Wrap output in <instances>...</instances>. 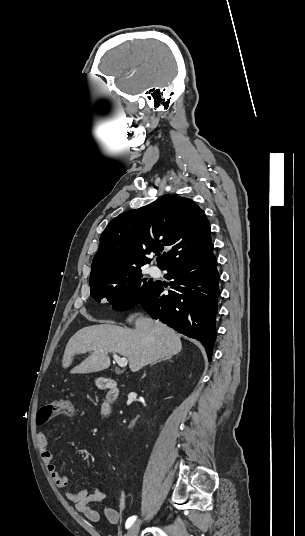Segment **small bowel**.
Masks as SVG:
<instances>
[{"label":"small bowel","instance_id":"small-bowel-1","mask_svg":"<svg viewBox=\"0 0 305 536\" xmlns=\"http://www.w3.org/2000/svg\"><path fill=\"white\" fill-rule=\"evenodd\" d=\"M42 433H45V430H42ZM36 441L42 460L55 485L59 488L67 487L68 478L57 469L54 455L48 447L47 435H36ZM65 496L83 516L94 522L99 521L100 515L92 508V505L101 502L105 498V490L102 486L98 485L91 494L88 493L86 488H82L79 491H66ZM103 512L111 524L117 525L119 523L120 514L117 510L106 506Z\"/></svg>","mask_w":305,"mask_h":536}]
</instances>
